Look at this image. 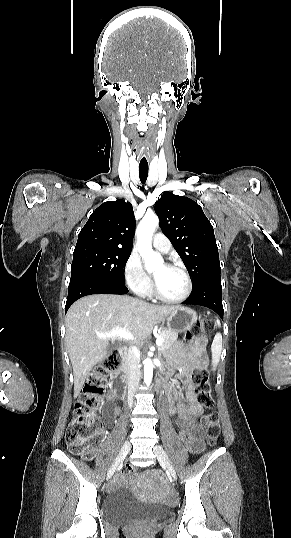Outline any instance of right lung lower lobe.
Returning a JSON list of instances; mask_svg holds the SVG:
<instances>
[{
    "mask_svg": "<svg viewBox=\"0 0 291 538\" xmlns=\"http://www.w3.org/2000/svg\"><path fill=\"white\" fill-rule=\"evenodd\" d=\"M125 285L96 280H81L69 284L65 312L79 298L91 294H126Z\"/></svg>",
    "mask_w": 291,
    "mask_h": 538,
    "instance_id": "obj_1",
    "label": "right lung lower lobe"
}]
</instances>
